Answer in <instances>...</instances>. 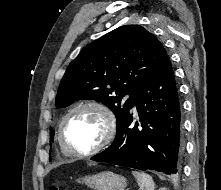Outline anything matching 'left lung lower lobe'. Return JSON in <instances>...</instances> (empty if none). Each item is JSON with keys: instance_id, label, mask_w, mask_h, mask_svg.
Instances as JSON below:
<instances>
[{"instance_id": "1", "label": "left lung lower lobe", "mask_w": 221, "mask_h": 190, "mask_svg": "<svg viewBox=\"0 0 221 190\" xmlns=\"http://www.w3.org/2000/svg\"><path fill=\"white\" fill-rule=\"evenodd\" d=\"M135 106L139 123L132 125ZM114 142L91 160L177 176L184 151L181 104L169 56L139 88Z\"/></svg>"}]
</instances>
